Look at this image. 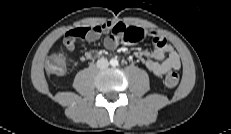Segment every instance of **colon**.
<instances>
[{"label":"colon","mask_w":231,"mask_h":134,"mask_svg":"<svg viewBox=\"0 0 231 134\" xmlns=\"http://www.w3.org/2000/svg\"><path fill=\"white\" fill-rule=\"evenodd\" d=\"M66 68V56L63 52L52 54L46 62V70L55 75H61ZM179 82V75L176 72H169L164 79V83L168 88H174Z\"/></svg>","instance_id":"colon-1"}]
</instances>
